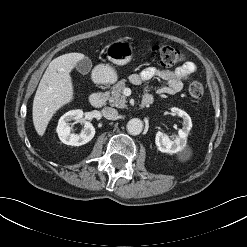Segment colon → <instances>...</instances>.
I'll return each mask as SVG.
<instances>
[{
	"mask_svg": "<svg viewBox=\"0 0 247 247\" xmlns=\"http://www.w3.org/2000/svg\"><path fill=\"white\" fill-rule=\"evenodd\" d=\"M152 52L160 64L165 67L177 65L184 59L183 54L177 48L168 45L154 46ZM188 92L193 99H200L204 94L203 85L194 81L189 85Z\"/></svg>",
	"mask_w": 247,
	"mask_h": 247,
	"instance_id": "obj_1",
	"label": "colon"
}]
</instances>
